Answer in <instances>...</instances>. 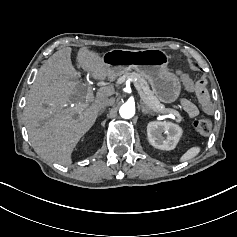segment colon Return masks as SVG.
<instances>
[{"label":"colon","mask_w":237,"mask_h":237,"mask_svg":"<svg viewBox=\"0 0 237 237\" xmlns=\"http://www.w3.org/2000/svg\"><path fill=\"white\" fill-rule=\"evenodd\" d=\"M179 75L186 89L190 92L195 93L197 98H199L201 106L205 110L212 109V104L209 98L204 94L203 91L200 92L199 96L197 95L196 84L193 82V80L185 73L180 72ZM194 128L199 134L207 135L210 133L212 129V125H211V122L207 119H198L194 122Z\"/></svg>","instance_id":"5ec220e1"}]
</instances>
